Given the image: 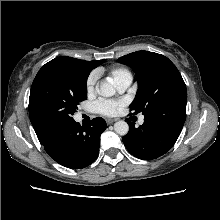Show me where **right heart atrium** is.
<instances>
[{
	"label": "right heart atrium",
	"instance_id": "1",
	"mask_svg": "<svg viewBox=\"0 0 220 220\" xmlns=\"http://www.w3.org/2000/svg\"><path fill=\"white\" fill-rule=\"evenodd\" d=\"M96 78L95 76H90L86 83V91L88 94L92 93L95 87Z\"/></svg>",
	"mask_w": 220,
	"mask_h": 220
}]
</instances>
